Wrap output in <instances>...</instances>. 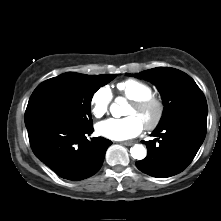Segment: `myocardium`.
Returning <instances> with one entry per match:
<instances>
[{"label": "myocardium", "instance_id": "1", "mask_svg": "<svg viewBox=\"0 0 221 221\" xmlns=\"http://www.w3.org/2000/svg\"><path fill=\"white\" fill-rule=\"evenodd\" d=\"M130 104L138 110H145L149 108H153L155 110L154 118L144 125L146 130H154L159 126L165 113V105L161 98L152 95L143 99L133 100Z\"/></svg>", "mask_w": 221, "mask_h": 221}]
</instances>
